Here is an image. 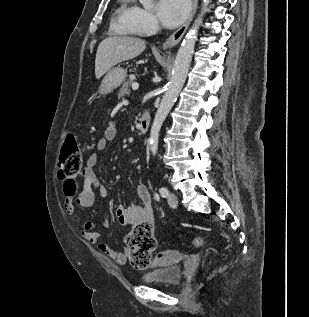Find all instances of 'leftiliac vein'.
I'll return each instance as SVG.
<instances>
[{"label":"left iliac vein","mask_w":309,"mask_h":317,"mask_svg":"<svg viewBox=\"0 0 309 317\" xmlns=\"http://www.w3.org/2000/svg\"><path fill=\"white\" fill-rule=\"evenodd\" d=\"M168 203H169L170 207H172V208H176L177 207L178 198H177L175 193H173V192L169 193V195H168Z\"/></svg>","instance_id":"left-iliac-vein-1"}]
</instances>
